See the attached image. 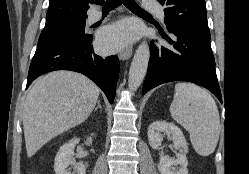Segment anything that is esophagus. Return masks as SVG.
Listing matches in <instances>:
<instances>
[{"instance_id":"1","label":"esophagus","mask_w":249,"mask_h":174,"mask_svg":"<svg viewBox=\"0 0 249 174\" xmlns=\"http://www.w3.org/2000/svg\"><path fill=\"white\" fill-rule=\"evenodd\" d=\"M132 50H133L132 46L127 47L126 49H124L123 51H121L119 53V58L121 60H127V59H129L131 57V55H132Z\"/></svg>"}]
</instances>
